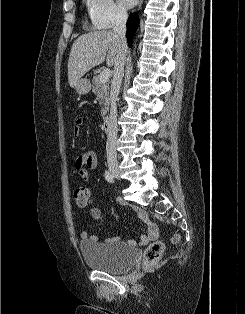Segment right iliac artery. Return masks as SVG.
I'll use <instances>...</instances> for the list:
<instances>
[{
  "label": "right iliac artery",
  "mask_w": 245,
  "mask_h": 314,
  "mask_svg": "<svg viewBox=\"0 0 245 314\" xmlns=\"http://www.w3.org/2000/svg\"><path fill=\"white\" fill-rule=\"evenodd\" d=\"M104 176L109 183L114 182V176L109 171H105Z\"/></svg>",
  "instance_id": "right-iliac-artery-1"
}]
</instances>
